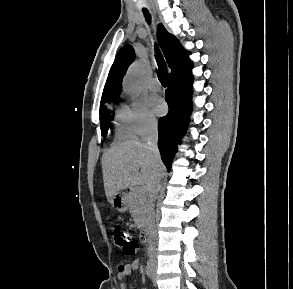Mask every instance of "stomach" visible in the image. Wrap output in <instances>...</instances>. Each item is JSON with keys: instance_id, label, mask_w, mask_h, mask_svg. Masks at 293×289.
I'll return each instance as SVG.
<instances>
[{"instance_id": "obj_1", "label": "stomach", "mask_w": 293, "mask_h": 289, "mask_svg": "<svg viewBox=\"0 0 293 289\" xmlns=\"http://www.w3.org/2000/svg\"><path fill=\"white\" fill-rule=\"evenodd\" d=\"M112 206L119 212H125L128 208L127 196L118 192L111 199Z\"/></svg>"}]
</instances>
